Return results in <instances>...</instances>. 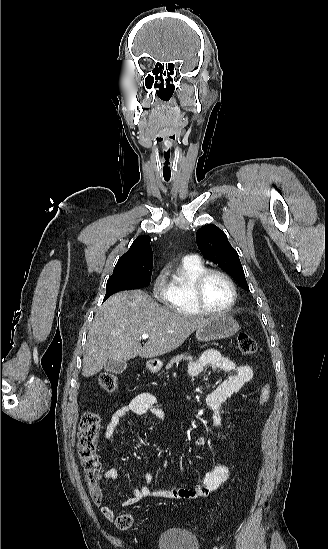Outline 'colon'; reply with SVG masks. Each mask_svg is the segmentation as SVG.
<instances>
[{"label": "colon", "instance_id": "1", "mask_svg": "<svg viewBox=\"0 0 328 549\" xmlns=\"http://www.w3.org/2000/svg\"><path fill=\"white\" fill-rule=\"evenodd\" d=\"M238 348L244 355H252L257 351L256 340L246 334L238 335ZM99 386L108 393H113L118 388L117 377L111 372H103L98 376ZM271 394L269 385H264L259 396L258 404L265 405ZM100 430V418L91 411L85 412L79 423L78 431V454L84 470L85 478L89 487L92 499L101 503L103 492L99 483L101 464L97 455V441ZM115 525L121 530H130L134 525L131 514L123 512L112 516Z\"/></svg>", "mask_w": 328, "mask_h": 549}]
</instances>
